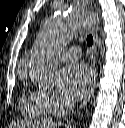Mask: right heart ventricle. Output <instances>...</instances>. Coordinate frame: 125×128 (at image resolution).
<instances>
[{
    "label": "right heart ventricle",
    "instance_id": "obj_1",
    "mask_svg": "<svg viewBox=\"0 0 125 128\" xmlns=\"http://www.w3.org/2000/svg\"><path fill=\"white\" fill-rule=\"evenodd\" d=\"M20 109L23 114L34 118L44 119L50 115V111L37 91L23 94L20 100Z\"/></svg>",
    "mask_w": 125,
    "mask_h": 128
}]
</instances>
